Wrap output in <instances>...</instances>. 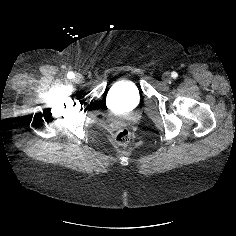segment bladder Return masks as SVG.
Instances as JSON below:
<instances>
[{
  "label": "bladder",
  "mask_w": 236,
  "mask_h": 236,
  "mask_svg": "<svg viewBox=\"0 0 236 236\" xmlns=\"http://www.w3.org/2000/svg\"><path fill=\"white\" fill-rule=\"evenodd\" d=\"M110 107L118 113H127L137 107L140 102L138 88L131 82H119L115 84L109 94Z\"/></svg>",
  "instance_id": "31cf9c89"
}]
</instances>
